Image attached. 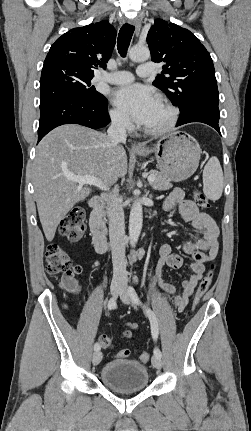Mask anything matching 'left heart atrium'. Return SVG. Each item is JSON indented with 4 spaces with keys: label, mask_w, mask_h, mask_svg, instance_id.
Returning a JSON list of instances; mask_svg holds the SVG:
<instances>
[{
    "label": "left heart atrium",
    "mask_w": 251,
    "mask_h": 431,
    "mask_svg": "<svg viewBox=\"0 0 251 431\" xmlns=\"http://www.w3.org/2000/svg\"><path fill=\"white\" fill-rule=\"evenodd\" d=\"M158 102L156 95L140 84L120 87L113 94V103L140 124L148 121Z\"/></svg>",
    "instance_id": "left-heart-atrium-1"
}]
</instances>
